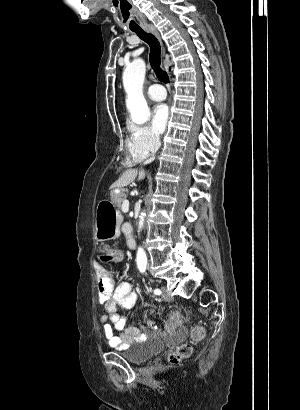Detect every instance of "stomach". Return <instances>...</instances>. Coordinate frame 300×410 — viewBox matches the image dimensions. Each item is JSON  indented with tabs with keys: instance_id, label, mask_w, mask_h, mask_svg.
Masks as SVG:
<instances>
[{
	"instance_id": "1",
	"label": "stomach",
	"mask_w": 300,
	"mask_h": 410,
	"mask_svg": "<svg viewBox=\"0 0 300 410\" xmlns=\"http://www.w3.org/2000/svg\"><path fill=\"white\" fill-rule=\"evenodd\" d=\"M114 193L111 192L113 198ZM122 215L115 202L103 200L97 206L95 218V236L98 241L115 239L120 235Z\"/></svg>"
}]
</instances>
